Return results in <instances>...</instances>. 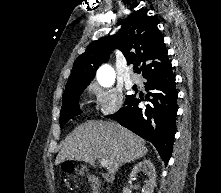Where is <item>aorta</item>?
Wrapping results in <instances>:
<instances>
[{
    "label": "aorta",
    "mask_w": 221,
    "mask_h": 193,
    "mask_svg": "<svg viewBox=\"0 0 221 193\" xmlns=\"http://www.w3.org/2000/svg\"><path fill=\"white\" fill-rule=\"evenodd\" d=\"M98 80L103 86H110L114 81V71L110 66H103L98 73Z\"/></svg>",
    "instance_id": "1"
}]
</instances>
